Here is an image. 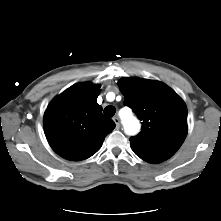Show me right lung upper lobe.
<instances>
[{
	"label": "right lung upper lobe",
	"mask_w": 221,
	"mask_h": 221,
	"mask_svg": "<svg viewBox=\"0 0 221 221\" xmlns=\"http://www.w3.org/2000/svg\"><path fill=\"white\" fill-rule=\"evenodd\" d=\"M100 85L78 83L55 97L44 114V132L61 157L80 161L95 154L115 128L97 103Z\"/></svg>",
	"instance_id": "right-lung-upper-lobe-1"
}]
</instances>
